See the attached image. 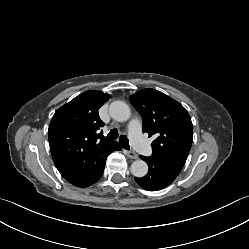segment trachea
<instances>
[{"mask_svg": "<svg viewBox=\"0 0 249 249\" xmlns=\"http://www.w3.org/2000/svg\"><path fill=\"white\" fill-rule=\"evenodd\" d=\"M106 138L110 139V140H116L118 138V131L116 129L110 130V132L108 133ZM119 142L124 149H126V150L130 149L129 140L127 139V137L125 135H121L119 137Z\"/></svg>", "mask_w": 249, "mask_h": 249, "instance_id": "3493384b", "label": "trachea"}]
</instances>
